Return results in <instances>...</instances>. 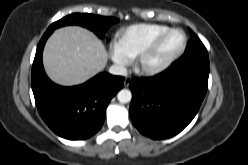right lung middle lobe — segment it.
<instances>
[{"label": "right lung middle lobe", "instance_id": "obj_1", "mask_svg": "<svg viewBox=\"0 0 248 165\" xmlns=\"http://www.w3.org/2000/svg\"><path fill=\"white\" fill-rule=\"evenodd\" d=\"M118 21L113 17L74 13L56 21L47 30H54L65 25H80L92 30L99 38H102L109 27Z\"/></svg>", "mask_w": 248, "mask_h": 165}]
</instances>
